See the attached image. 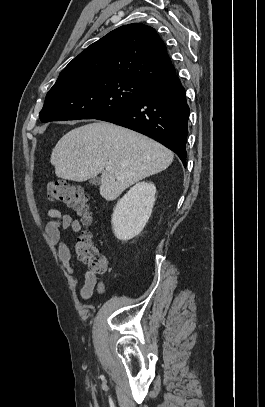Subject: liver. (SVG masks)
Listing matches in <instances>:
<instances>
[{
    "mask_svg": "<svg viewBox=\"0 0 265 407\" xmlns=\"http://www.w3.org/2000/svg\"><path fill=\"white\" fill-rule=\"evenodd\" d=\"M173 158L169 149L145 135L96 122L66 133L50 161L58 178L83 182L101 174L100 195L111 201L134 183L168 168ZM107 166L111 170H105Z\"/></svg>",
    "mask_w": 265,
    "mask_h": 407,
    "instance_id": "6515ba94",
    "label": "liver"
}]
</instances>
